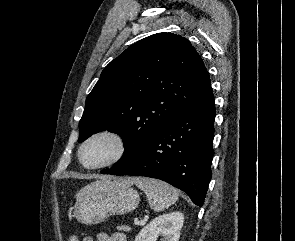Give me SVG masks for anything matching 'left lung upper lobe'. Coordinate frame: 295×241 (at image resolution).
I'll return each mask as SVG.
<instances>
[{
    "mask_svg": "<svg viewBox=\"0 0 295 241\" xmlns=\"http://www.w3.org/2000/svg\"><path fill=\"white\" fill-rule=\"evenodd\" d=\"M212 92L203 60L182 36L157 33L129 46L102 71L86 98L79 142L108 130L131 160L177 114Z\"/></svg>",
    "mask_w": 295,
    "mask_h": 241,
    "instance_id": "1",
    "label": "left lung upper lobe"
}]
</instances>
